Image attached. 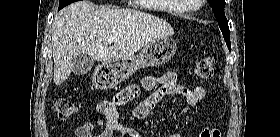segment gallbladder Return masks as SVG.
Masks as SVG:
<instances>
[{
	"mask_svg": "<svg viewBox=\"0 0 280 137\" xmlns=\"http://www.w3.org/2000/svg\"><path fill=\"white\" fill-rule=\"evenodd\" d=\"M94 59L87 54H78L73 58L72 73L74 75L83 76L87 74L93 67Z\"/></svg>",
	"mask_w": 280,
	"mask_h": 137,
	"instance_id": "1",
	"label": "gallbladder"
}]
</instances>
